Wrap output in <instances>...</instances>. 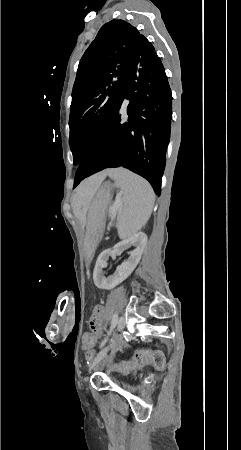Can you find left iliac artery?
Masks as SVG:
<instances>
[{"mask_svg":"<svg viewBox=\"0 0 241 450\" xmlns=\"http://www.w3.org/2000/svg\"><path fill=\"white\" fill-rule=\"evenodd\" d=\"M117 323H118V315L115 313L114 314V316H113V318H112V321H111V327H110V330H109V333L112 331V329L117 325ZM109 333H108V335H109ZM107 338L108 337H106L102 342H101V347L106 343V341H107Z\"/></svg>","mask_w":241,"mask_h":450,"instance_id":"1","label":"left iliac artery"}]
</instances>
